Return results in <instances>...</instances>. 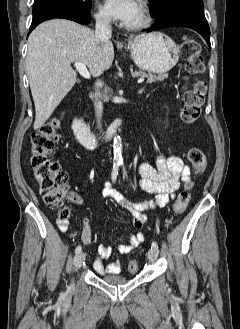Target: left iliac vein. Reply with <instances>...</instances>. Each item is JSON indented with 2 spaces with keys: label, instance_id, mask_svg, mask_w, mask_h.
Masks as SVG:
<instances>
[{
  "label": "left iliac vein",
  "instance_id": "left-iliac-vein-1",
  "mask_svg": "<svg viewBox=\"0 0 240 329\" xmlns=\"http://www.w3.org/2000/svg\"><path fill=\"white\" fill-rule=\"evenodd\" d=\"M158 258V250L156 249H150L148 251V259L152 262H155Z\"/></svg>",
  "mask_w": 240,
  "mask_h": 329
}]
</instances>
